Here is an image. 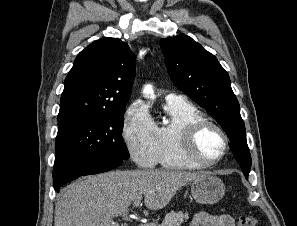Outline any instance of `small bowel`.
Listing matches in <instances>:
<instances>
[{
	"label": "small bowel",
	"instance_id": "c3829d8e",
	"mask_svg": "<svg viewBox=\"0 0 297 226\" xmlns=\"http://www.w3.org/2000/svg\"><path fill=\"white\" fill-rule=\"evenodd\" d=\"M189 226H235V222L227 214L214 215L201 211L193 216Z\"/></svg>",
	"mask_w": 297,
	"mask_h": 226
}]
</instances>
